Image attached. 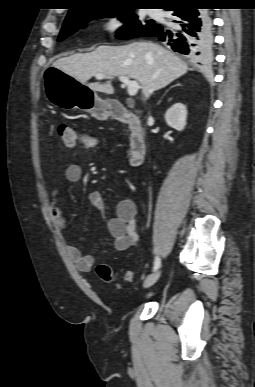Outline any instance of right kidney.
<instances>
[{
	"label": "right kidney",
	"instance_id": "right-kidney-1",
	"mask_svg": "<svg viewBox=\"0 0 255 387\" xmlns=\"http://www.w3.org/2000/svg\"><path fill=\"white\" fill-rule=\"evenodd\" d=\"M187 109L182 103H175L165 113L166 123L178 131L186 126Z\"/></svg>",
	"mask_w": 255,
	"mask_h": 387
}]
</instances>
